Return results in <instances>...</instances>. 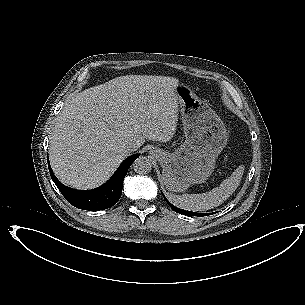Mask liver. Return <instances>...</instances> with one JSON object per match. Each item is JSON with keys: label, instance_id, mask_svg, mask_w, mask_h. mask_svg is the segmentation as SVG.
Instances as JSON below:
<instances>
[{"label": "liver", "instance_id": "6515ba94", "mask_svg": "<svg viewBox=\"0 0 305 305\" xmlns=\"http://www.w3.org/2000/svg\"><path fill=\"white\" fill-rule=\"evenodd\" d=\"M157 87L172 95L179 84L162 77ZM143 81L112 79L74 95L59 114L50 137L49 158L57 178L77 189L102 185L130 152L145 140L169 141L176 130L174 109H159Z\"/></svg>", "mask_w": 305, "mask_h": 305}]
</instances>
